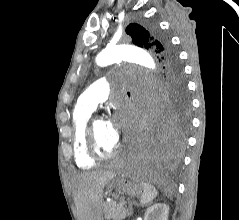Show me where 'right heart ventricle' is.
Wrapping results in <instances>:
<instances>
[{"label": "right heart ventricle", "instance_id": "obj_1", "mask_svg": "<svg viewBox=\"0 0 239 220\" xmlns=\"http://www.w3.org/2000/svg\"><path fill=\"white\" fill-rule=\"evenodd\" d=\"M93 110L77 103L72 113L73 155L76 165L83 169H88L95 165V160L87 152L85 138L87 123Z\"/></svg>", "mask_w": 239, "mask_h": 220}]
</instances>
